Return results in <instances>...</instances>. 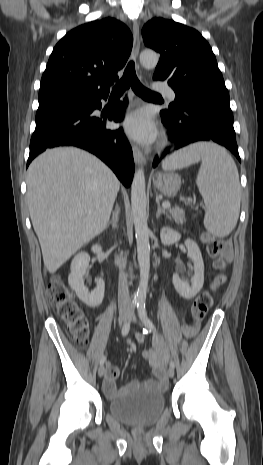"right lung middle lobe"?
<instances>
[{
	"instance_id": "right-lung-middle-lobe-1",
	"label": "right lung middle lobe",
	"mask_w": 263,
	"mask_h": 465,
	"mask_svg": "<svg viewBox=\"0 0 263 465\" xmlns=\"http://www.w3.org/2000/svg\"><path fill=\"white\" fill-rule=\"evenodd\" d=\"M85 101H86V98L84 97H59V98L42 100V101H39V108L37 112L51 109V108L60 107V106L82 104Z\"/></svg>"
}]
</instances>
